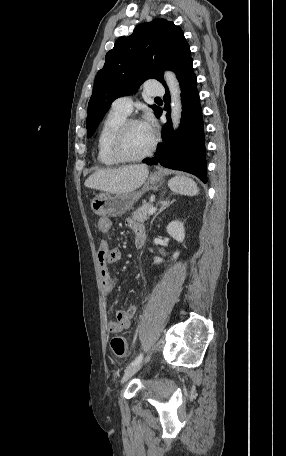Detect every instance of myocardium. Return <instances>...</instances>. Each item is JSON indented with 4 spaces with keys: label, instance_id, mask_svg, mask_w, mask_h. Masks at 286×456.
<instances>
[{
    "label": "myocardium",
    "instance_id": "myocardium-1",
    "mask_svg": "<svg viewBox=\"0 0 286 456\" xmlns=\"http://www.w3.org/2000/svg\"><path fill=\"white\" fill-rule=\"evenodd\" d=\"M135 124H144L143 121L136 119V118H126L116 129L114 132L111 142H110V151L111 154L117 159L119 162H139L145 160L146 158L150 157L157 147V137L152 132V142L149 149L141 156L137 157H129L126 156L122 151V142L124 135L129 127Z\"/></svg>",
    "mask_w": 286,
    "mask_h": 456
}]
</instances>
